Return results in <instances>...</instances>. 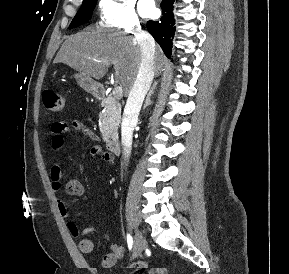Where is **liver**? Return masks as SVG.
I'll use <instances>...</instances> for the list:
<instances>
[{
    "label": "liver",
    "mask_w": 289,
    "mask_h": 274,
    "mask_svg": "<svg viewBox=\"0 0 289 274\" xmlns=\"http://www.w3.org/2000/svg\"><path fill=\"white\" fill-rule=\"evenodd\" d=\"M166 61L160 47L155 45L153 68L156 76ZM53 62L65 63L97 80L103 78L113 64L115 79L127 95L138 73L141 51L134 37L120 32L85 30L68 36Z\"/></svg>",
    "instance_id": "liver-1"
}]
</instances>
